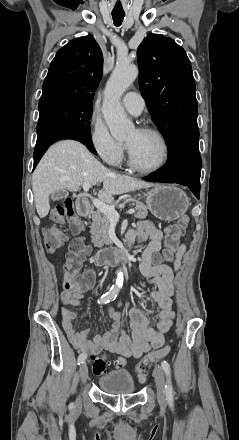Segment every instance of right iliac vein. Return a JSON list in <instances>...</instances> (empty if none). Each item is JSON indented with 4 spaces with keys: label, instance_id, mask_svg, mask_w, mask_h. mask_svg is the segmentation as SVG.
<instances>
[{
    "label": "right iliac vein",
    "instance_id": "1",
    "mask_svg": "<svg viewBox=\"0 0 239 440\" xmlns=\"http://www.w3.org/2000/svg\"><path fill=\"white\" fill-rule=\"evenodd\" d=\"M79 374L82 384H85L88 378V367L86 363H82V365L80 366Z\"/></svg>",
    "mask_w": 239,
    "mask_h": 440
}]
</instances>
